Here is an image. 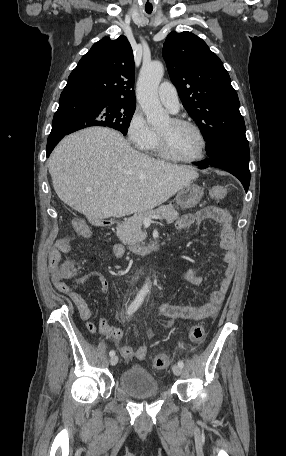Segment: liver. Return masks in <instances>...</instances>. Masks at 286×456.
I'll return each instance as SVG.
<instances>
[{"label": "liver", "mask_w": 286, "mask_h": 456, "mask_svg": "<svg viewBox=\"0 0 286 456\" xmlns=\"http://www.w3.org/2000/svg\"><path fill=\"white\" fill-rule=\"evenodd\" d=\"M48 169L58 197L90 222L148 211L198 177L189 166L134 150L120 133L103 127L65 137Z\"/></svg>", "instance_id": "6515ba94"}]
</instances>
